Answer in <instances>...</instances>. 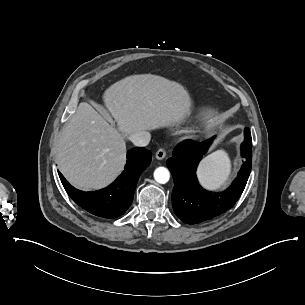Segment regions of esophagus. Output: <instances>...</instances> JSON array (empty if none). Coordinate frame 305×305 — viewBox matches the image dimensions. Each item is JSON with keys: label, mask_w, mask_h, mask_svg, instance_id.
Wrapping results in <instances>:
<instances>
[{"label": "esophagus", "mask_w": 305, "mask_h": 305, "mask_svg": "<svg viewBox=\"0 0 305 305\" xmlns=\"http://www.w3.org/2000/svg\"><path fill=\"white\" fill-rule=\"evenodd\" d=\"M165 156H166V151H165L163 148H160V149L156 152V155H155V157H156L158 160L164 159Z\"/></svg>", "instance_id": "esophagus-1"}]
</instances>
